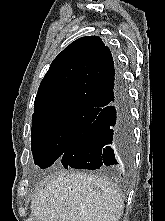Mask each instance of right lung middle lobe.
I'll return each mask as SVG.
<instances>
[{
    "instance_id": "obj_1",
    "label": "right lung middle lobe",
    "mask_w": 165,
    "mask_h": 221,
    "mask_svg": "<svg viewBox=\"0 0 165 221\" xmlns=\"http://www.w3.org/2000/svg\"><path fill=\"white\" fill-rule=\"evenodd\" d=\"M98 110L65 107L39 112L32 117L31 149L34 163L51 166L84 133Z\"/></svg>"
}]
</instances>
